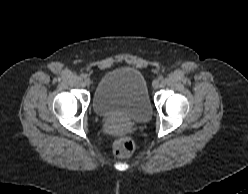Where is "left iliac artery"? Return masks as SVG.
<instances>
[{"instance_id":"1","label":"left iliac artery","mask_w":248,"mask_h":194,"mask_svg":"<svg viewBox=\"0 0 248 194\" xmlns=\"http://www.w3.org/2000/svg\"><path fill=\"white\" fill-rule=\"evenodd\" d=\"M164 78L163 76H159V80L162 81Z\"/></svg>"}]
</instances>
